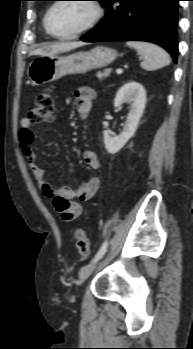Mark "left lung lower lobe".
<instances>
[{
	"label": "left lung lower lobe",
	"mask_w": 193,
	"mask_h": 349,
	"mask_svg": "<svg viewBox=\"0 0 193 349\" xmlns=\"http://www.w3.org/2000/svg\"><path fill=\"white\" fill-rule=\"evenodd\" d=\"M180 0H108L106 16L82 36L85 42L140 40L156 43L177 61Z\"/></svg>",
	"instance_id": "left-lung-lower-lobe-1"
}]
</instances>
